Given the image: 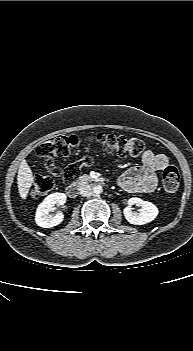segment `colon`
Listing matches in <instances>:
<instances>
[{"label":"colon","mask_w":193,"mask_h":351,"mask_svg":"<svg viewBox=\"0 0 193 351\" xmlns=\"http://www.w3.org/2000/svg\"><path fill=\"white\" fill-rule=\"evenodd\" d=\"M88 141L96 143L104 153H115L118 155L139 156L144 152L145 145L138 138H128L112 133H99L88 137ZM79 138L75 135L57 136L40 143L36 148V154L47 161L57 157H66L70 155L79 145ZM93 159L85 156L79 162L69 165L62 172H59L51 163L47 169L51 173L61 174L65 183L75 181L83 166H90ZM180 172L175 166H167L162 175L163 190L166 194H174L180 185ZM54 187L53 178L48 175H39L35 178L31 189V195L34 198H40L48 194Z\"/></svg>","instance_id":"colon-1"}]
</instances>
